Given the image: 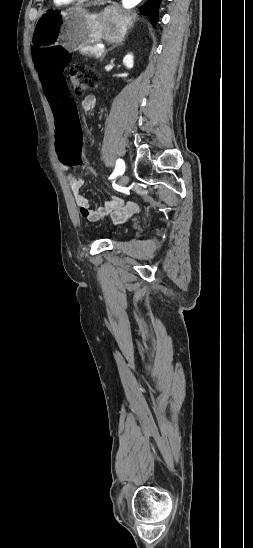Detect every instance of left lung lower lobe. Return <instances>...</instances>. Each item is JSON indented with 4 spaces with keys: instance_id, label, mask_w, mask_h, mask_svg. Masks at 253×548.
I'll return each mask as SVG.
<instances>
[{
    "instance_id": "0a47b994",
    "label": "left lung lower lobe",
    "mask_w": 253,
    "mask_h": 548,
    "mask_svg": "<svg viewBox=\"0 0 253 548\" xmlns=\"http://www.w3.org/2000/svg\"><path fill=\"white\" fill-rule=\"evenodd\" d=\"M161 0H148L142 7L143 10L152 15L153 21L157 20L159 3Z\"/></svg>"
}]
</instances>
